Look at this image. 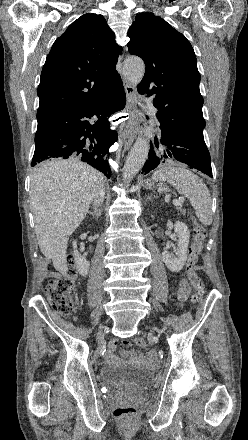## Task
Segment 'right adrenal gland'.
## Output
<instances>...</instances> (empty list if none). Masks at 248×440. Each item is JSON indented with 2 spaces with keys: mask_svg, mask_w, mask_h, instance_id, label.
Listing matches in <instances>:
<instances>
[{
  "mask_svg": "<svg viewBox=\"0 0 248 440\" xmlns=\"http://www.w3.org/2000/svg\"><path fill=\"white\" fill-rule=\"evenodd\" d=\"M88 214L92 215L93 218L98 219L102 214V207L100 206L98 209H95L94 211H89Z\"/></svg>",
  "mask_w": 248,
  "mask_h": 440,
  "instance_id": "1",
  "label": "right adrenal gland"
}]
</instances>
